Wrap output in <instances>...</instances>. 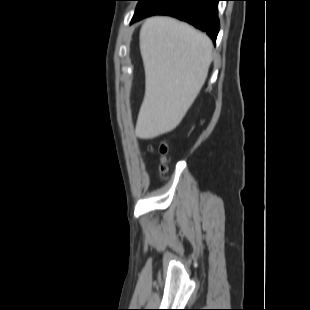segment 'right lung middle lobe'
Wrapping results in <instances>:
<instances>
[{"mask_svg":"<svg viewBox=\"0 0 310 310\" xmlns=\"http://www.w3.org/2000/svg\"><path fill=\"white\" fill-rule=\"evenodd\" d=\"M137 1H139V3L137 5L135 14L149 8L153 4L159 2L160 0H137Z\"/></svg>","mask_w":310,"mask_h":310,"instance_id":"obj_1","label":"right lung middle lobe"}]
</instances>
